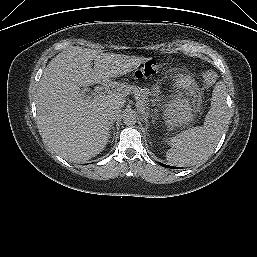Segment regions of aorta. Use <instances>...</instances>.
Wrapping results in <instances>:
<instances>
[{
  "label": "aorta",
  "instance_id": "1",
  "mask_svg": "<svg viewBox=\"0 0 257 257\" xmlns=\"http://www.w3.org/2000/svg\"><path fill=\"white\" fill-rule=\"evenodd\" d=\"M123 122L127 126H132L137 122L136 113L132 110L126 111L123 114Z\"/></svg>",
  "mask_w": 257,
  "mask_h": 257
}]
</instances>
